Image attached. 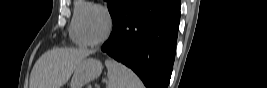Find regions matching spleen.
<instances>
[{
  "instance_id": "3e777b00",
  "label": "spleen",
  "mask_w": 267,
  "mask_h": 88,
  "mask_svg": "<svg viewBox=\"0 0 267 88\" xmlns=\"http://www.w3.org/2000/svg\"><path fill=\"white\" fill-rule=\"evenodd\" d=\"M107 88H144L140 78L128 67L113 59H107Z\"/></svg>"
}]
</instances>
